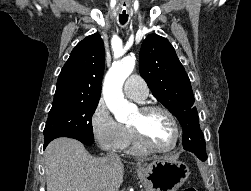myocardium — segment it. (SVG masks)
I'll use <instances>...</instances> for the list:
<instances>
[{
  "label": "myocardium",
  "instance_id": "1",
  "mask_svg": "<svg viewBox=\"0 0 251 191\" xmlns=\"http://www.w3.org/2000/svg\"><path fill=\"white\" fill-rule=\"evenodd\" d=\"M140 111H142L145 114H150L155 111H161V112L165 113L171 119V121L174 125V128H175V132H176L175 145L169 150H160V149L155 148L148 141L146 134L141 126L131 125V128L133 129V131L136 135V138H137L138 142L140 143V145L142 147H144L146 150H148L149 152L156 153V154L170 155V154L177 152L181 146V143H182V131H181L179 121H178L177 117L175 116V114L165 106L154 105V104L144 105L140 108Z\"/></svg>",
  "mask_w": 251,
  "mask_h": 191
}]
</instances>
